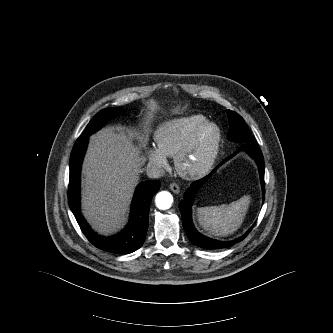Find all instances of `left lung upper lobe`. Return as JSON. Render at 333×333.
Wrapping results in <instances>:
<instances>
[{"instance_id":"5c2ea615","label":"left lung upper lobe","mask_w":333,"mask_h":333,"mask_svg":"<svg viewBox=\"0 0 333 333\" xmlns=\"http://www.w3.org/2000/svg\"><path fill=\"white\" fill-rule=\"evenodd\" d=\"M227 113L230 123V128L227 136L228 139L232 141H241L245 144H252V137L243 118L237 113L230 110H228Z\"/></svg>"}]
</instances>
